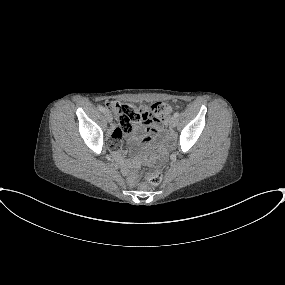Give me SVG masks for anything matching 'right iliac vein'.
<instances>
[{"label": "right iliac vein", "instance_id": "right-iliac-vein-1", "mask_svg": "<svg viewBox=\"0 0 285 285\" xmlns=\"http://www.w3.org/2000/svg\"><path fill=\"white\" fill-rule=\"evenodd\" d=\"M105 117H106V120H107L108 122H112L113 117H112V114H111L109 111H106V112H105Z\"/></svg>", "mask_w": 285, "mask_h": 285}]
</instances>
